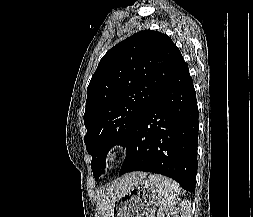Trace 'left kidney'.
Returning a JSON list of instances; mask_svg holds the SVG:
<instances>
[{
    "mask_svg": "<svg viewBox=\"0 0 253 217\" xmlns=\"http://www.w3.org/2000/svg\"><path fill=\"white\" fill-rule=\"evenodd\" d=\"M191 204L187 200L177 199L158 213V217H191Z\"/></svg>",
    "mask_w": 253,
    "mask_h": 217,
    "instance_id": "1",
    "label": "left kidney"
}]
</instances>
